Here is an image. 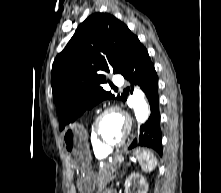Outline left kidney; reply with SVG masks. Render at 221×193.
<instances>
[{"label": "left kidney", "instance_id": "left-kidney-1", "mask_svg": "<svg viewBox=\"0 0 221 193\" xmlns=\"http://www.w3.org/2000/svg\"><path fill=\"white\" fill-rule=\"evenodd\" d=\"M131 186L138 187L136 193H147L148 191V184L145 178L139 173H133L125 180L126 193H130Z\"/></svg>", "mask_w": 221, "mask_h": 193}]
</instances>
